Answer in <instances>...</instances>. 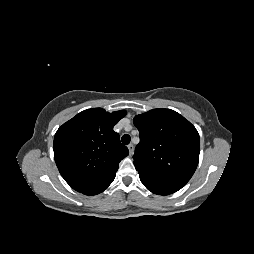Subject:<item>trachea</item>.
<instances>
[{
  "instance_id": "1",
  "label": "trachea",
  "mask_w": 254,
  "mask_h": 254,
  "mask_svg": "<svg viewBox=\"0 0 254 254\" xmlns=\"http://www.w3.org/2000/svg\"><path fill=\"white\" fill-rule=\"evenodd\" d=\"M121 141L124 145H128L131 141V137L128 134L122 136Z\"/></svg>"
}]
</instances>
